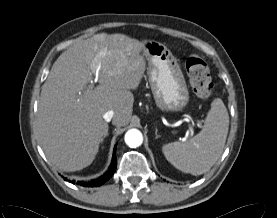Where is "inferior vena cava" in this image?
<instances>
[{
  "label": "inferior vena cava",
  "mask_w": 277,
  "mask_h": 218,
  "mask_svg": "<svg viewBox=\"0 0 277 218\" xmlns=\"http://www.w3.org/2000/svg\"><path fill=\"white\" fill-rule=\"evenodd\" d=\"M114 117V111L112 110H109L107 111L104 115H103V118L106 122H110L111 119Z\"/></svg>",
  "instance_id": "602c4592"
}]
</instances>
